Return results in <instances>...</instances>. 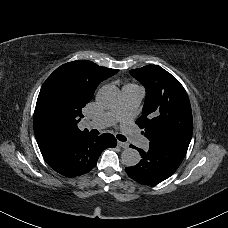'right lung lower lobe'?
I'll return each instance as SVG.
<instances>
[{"mask_svg": "<svg viewBox=\"0 0 228 228\" xmlns=\"http://www.w3.org/2000/svg\"><path fill=\"white\" fill-rule=\"evenodd\" d=\"M117 140L112 134L99 137L81 134L56 142L41 150L43 158L56 172L66 177L85 174L95 167L106 148H114Z\"/></svg>", "mask_w": 228, "mask_h": 228, "instance_id": "1", "label": "right lung lower lobe"}]
</instances>
